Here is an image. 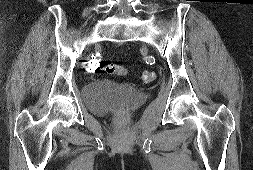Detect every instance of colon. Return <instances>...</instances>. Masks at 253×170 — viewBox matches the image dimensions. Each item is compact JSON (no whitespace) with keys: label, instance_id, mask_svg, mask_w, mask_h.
<instances>
[{"label":"colon","instance_id":"obj_1","mask_svg":"<svg viewBox=\"0 0 253 170\" xmlns=\"http://www.w3.org/2000/svg\"><path fill=\"white\" fill-rule=\"evenodd\" d=\"M100 70L106 74L125 76L127 74L126 68L118 64L102 63ZM156 79L155 71L145 69L141 74V80L146 83L153 82Z\"/></svg>","mask_w":253,"mask_h":170}]
</instances>
